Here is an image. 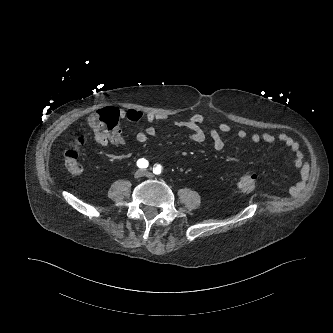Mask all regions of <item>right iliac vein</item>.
Returning a JSON list of instances; mask_svg holds the SVG:
<instances>
[{"instance_id":"1","label":"right iliac vein","mask_w":333,"mask_h":333,"mask_svg":"<svg viewBox=\"0 0 333 333\" xmlns=\"http://www.w3.org/2000/svg\"><path fill=\"white\" fill-rule=\"evenodd\" d=\"M143 175H144L143 170H138V171L135 172L134 177H135L136 179H139V178H141Z\"/></svg>"}]
</instances>
